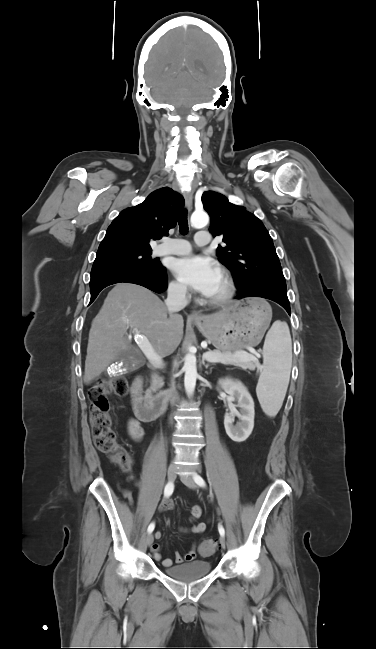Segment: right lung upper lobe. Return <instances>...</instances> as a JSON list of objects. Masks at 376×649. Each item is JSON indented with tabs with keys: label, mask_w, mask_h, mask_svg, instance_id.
<instances>
[{
	"label": "right lung upper lobe",
	"mask_w": 376,
	"mask_h": 649,
	"mask_svg": "<svg viewBox=\"0 0 376 649\" xmlns=\"http://www.w3.org/2000/svg\"><path fill=\"white\" fill-rule=\"evenodd\" d=\"M184 198L168 187L158 189L143 203L127 208L112 221L97 254L151 251L150 239H161L177 224Z\"/></svg>",
	"instance_id": "cb5924a9"
}]
</instances>
